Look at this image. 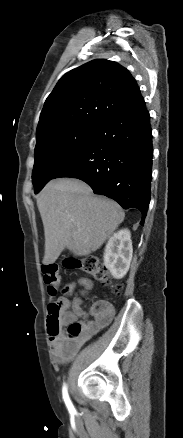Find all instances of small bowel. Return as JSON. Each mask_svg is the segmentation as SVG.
I'll return each instance as SVG.
<instances>
[{
	"instance_id": "small-bowel-1",
	"label": "small bowel",
	"mask_w": 183,
	"mask_h": 438,
	"mask_svg": "<svg viewBox=\"0 0 183 438\" xmlns=\"http://www.w3.org/2000/svg\"><path fill=\"white\" fill-rule=\"evenodd\" d=\"M78 283L85 291L92 288L91 281L86 278H81ZM74 287L75 284H72L69 289H73ZM82 315H86V312L80 307L79 303L74 304L73 307L64 314L62 326H67L69 322L76 320ZM88 315L91 317V320L83 325V332L77 338H68L61 329L56 335L49 334L52 353L58 363H65L71 360L86 341L101 329L108 326L114 316V308L109 302L99 300L90 307Z\"/></svg>"
}]
</instances>
